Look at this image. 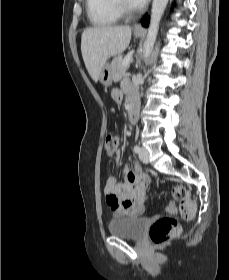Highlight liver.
<instances>
[{
  "mask_svg": "<svg viewBox=\"0 0 229 280\" xmlns=\"http://www.w3.org/2000/svg\"><path fill=\"white\" fill-rule=\"evenodd\" d=\"M131 40L129 26H97L87 28L81 37V52L86 69L97 82L107 60L122 53Z\"/></svg>",
  "mask_w": 229,
  "mask_h": 280,
  "instance_id": "liver-1",
  "label": "liver"
}]
</instances>
